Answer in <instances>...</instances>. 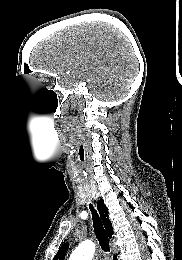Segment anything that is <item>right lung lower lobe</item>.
<instances>
[{
  "mask_svg": "<svg viewBox=\"0 0 182 260\" xmlns=\"http://www.w3.org/2000/svg\"><path fill=\"white\" fill-rule=\"evenodd\" d=\"M113 259H114V260H117V256H116V255H114Z\"/></svg>",
  "mask_w": 182,
  "mask_h": 260,
  "instance_id": "right-lung-lower-lobe-1",
  "label": "right lung lower lobe"
}]
</instances>
